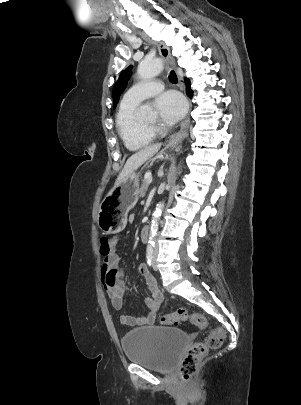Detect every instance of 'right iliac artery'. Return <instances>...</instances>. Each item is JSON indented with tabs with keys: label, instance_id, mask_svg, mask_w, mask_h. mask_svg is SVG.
Segmentation results:
<instances>
[{
	"label": "right iliac artery",
	"instance_id": "82829eb1",
	"mask_svg": "<svg viewBox=\"0 0 301 405\" xmlns=\"http://www.w3.org/2000/svg\"><path fill=\"white\" fill-rule=\"evenodd\" d=\"M152 254H153V248L151 246L147 247L146 250V259H147V263L150 266L151 262H152Z\"/></svg>",
	"mask_w": 301,
	"mask_h": 405
}]
</instances>
